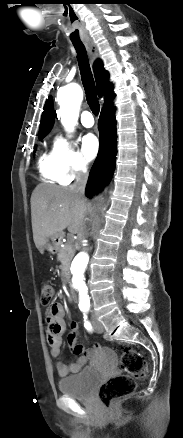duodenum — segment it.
I'll use <instances>...</instances> for the list:
<instances>
[{
	"mask_svg": "<svg viewBox=\"0 0 183 438\" xmlns=\"http://www.w3.org/2000/svg\"><path fill=\"white\" fill-rule=\"evenodd\" d=\"M68 291H69L70 299H71L72 301H76V300H77V295H76L75 290L72 289V288H69Z\"/></svg>",
	"mask_w": 183,
	"mask_h": 438,
	"instance_id": "410a0bca",
	"label": "duodenum"
}]
</instances>
